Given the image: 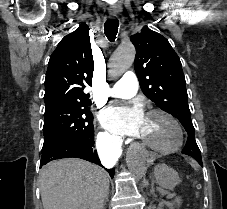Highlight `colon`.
I'll use <instances>...</instances> for the list:
<instances>
[{"mask_svg":"<svg viewBox=\"0 0 227 209\" xmlns=\"http://www.w3.org/2000/svg\"><path fill=\"white\" fill-rule=\"evenodd\" d=\"M198 189H199V186L197 185V186H196V190H198Z\"/></svg>","mask_w":227,"mask_h":209,"instance_id":"5ec220e1","label":"colon"}]
</instances>
